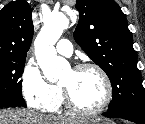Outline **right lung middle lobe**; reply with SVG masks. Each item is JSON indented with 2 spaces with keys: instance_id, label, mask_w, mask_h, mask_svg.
Instances as JSON below:
<instances>
[{
  "instance_id": "1",
  "label": "right lung middle lobe",
  "mask_w": 145,
  "mask_h": 124,
  "mask_svg": "<svg viewBox=\"0 0 145 124\" xmlns=\"http://www.w3.org/2000/svg\"><path fill=\"white\" fill-rule=\"evenodd\" d=\"M25 58H0V97L22 96L19 78L24 71Z\"/></svg>"
}]
</instances>
